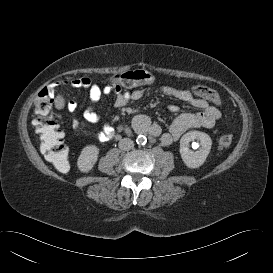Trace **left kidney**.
I'll return each mask as SVG.
<instances>
[{
  "label": "left kidney",
  "mask_w": 273,
  "mask_h": 273,
  "mask_svg": "<svg viewBox=\"0 0 273 273\" xmlns=\"http://www.w3.org/2000/svg\"><path fill=\"white\" fill-rule=\"evenodd\" d=\"M198 140L200 146H194L198 148L197 151L189 149V142ZM212 146V140L210 136L200 131H189L184 134L180 139V154L183 162L188 168H197L205 162Z\"/></svg>",
  "instance_id": "obj_1"
}]
</instances>
